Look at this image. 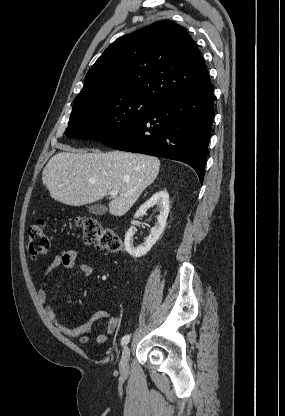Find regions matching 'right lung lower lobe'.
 <instances>
[{"instance_id":"right-lung-lower-lobe-1","label":"right lung lower lobe","mask_w":285,"mask_h":416,"mask_svg":"<svg viewBox=\"0 0 285 416\" xmlns=\"http://www.w3.org/2000/svg\"><path fill=\"white\" fill-rule=\"evenodd\" d=\"M214 119V88L206 86L167 100L125 130L100 140L118 150L190 165L203 182Z\"/></svg>"}]
</instances>
